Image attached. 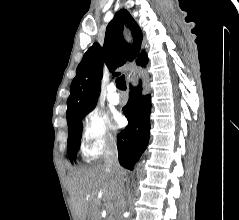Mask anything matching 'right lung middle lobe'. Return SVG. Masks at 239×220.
Masks as SVG:
<instances>
[{"label": "right lung middle lobe", "instance_id": "dd1d6c3e", "mask_svg": "<svg viewBox=\"0 0 239 220\" xmlns=\"http://www.w3.org/2000/svg\"><path fill=\"white\" fill-rule=\"evenodd\" d=\"M86 116V114L80 116L75 121H73L70 125H68L69 136H68V155L72 162L75 160L78 148L80 147V140L82 134V119Z\"/></svg>", "mask_w": 239, "mask_h": 220}]
</instances>
